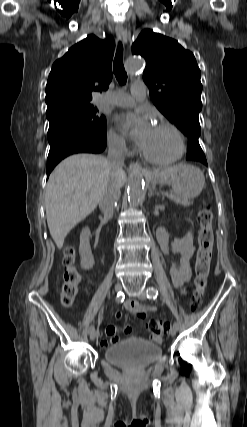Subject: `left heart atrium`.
Returning a JSON list of instances; mask_svg holds the SVG:
<instances>
[{
  "label": "left heart atrium",
  "mask_w": 247,
  "mask_h": 427,
  "mask_svg": "<svg viewBox=\"0 0 247 427\" xmlns=\"http://www.w3.org/2000/svg\"><path fill=\"white\" fill-rule=\"evenodd\" d=\"M121 129L130 135L134 141L143 147L152 132L153 128L146 118L136 116L131 113L122 115L119 118Z\"/></svg>",
  "instance_id": "1"
}]
</instances>
